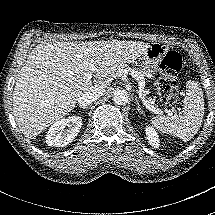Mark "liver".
<instances>
[{
    "label": "liver",
    "instance_id": "1",
    "mask_svg": "<svg viewBox=\"0 0 215 215\" xmlns=\"http://www.w3.org/2000/svg\"><path fill=\"white\" fill-rule=\"evenodd\" d=\"M147 42L97 40L37 45L20 69L13 91V115L23 135L36 139L71 112L83 93L110 86L111 77L142 55ZM95 67L98 80L83 77Z\"/></svg>",
    "mask_w": 215,
    "mask_h": 215
}]
</instances>
